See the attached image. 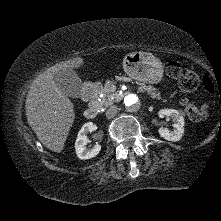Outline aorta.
<instances>
[{
	"label": "aorta",
	"mask_w": 221,
	"mask_h": 221,
	"mask_svg": "<svg viewBox=\"0 0 221 221\" xmlns=\"http://www.w3.org/2000/svg\"><path fill=\"white\" fill-rule=\"evenodd\" d=\"M124 104L127 108H130V109H133V110L137 109L139 107V98L135 94H128L124 98Z\"/></svg>",
	"instance_id": "aorta-1"
}]
</instances>
